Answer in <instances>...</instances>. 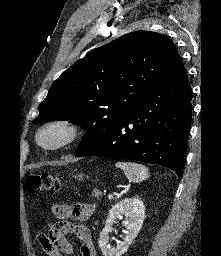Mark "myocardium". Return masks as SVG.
I'll return each mask as SVG.
<instances>
[{
  "label": "myocardium",
  "instance_id": "myocardium-1",
  "mask_svg": "<svg viewBox=\"0 0 221 256\" xmlns=\"http://www.w3.org/2000/svg\"><path fill=\"white\" fill-rule=\"evenodd\" d=\"M82 128L78 121L69 117H58L45 122L36 132L37 144L46 150H58L74 143L81 134ZM50 133L58 134L53 142H47L45 136Z\"/></svg>",
  "mask_w": 221,
  "mask_h": 256
}]
</instances>
